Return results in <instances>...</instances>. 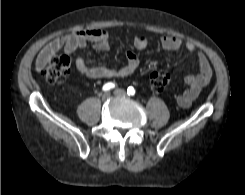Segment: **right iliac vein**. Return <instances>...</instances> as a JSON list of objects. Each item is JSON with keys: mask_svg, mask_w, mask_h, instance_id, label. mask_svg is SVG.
Instances as JSON below:
<instances>
[{"mask_svg": "<svg viewBox=\"0 0 245 195\" xmlns=\"http://www.w3.org/2000/svg\"><path fill=\"white\" fill-rule=\"evenodd\" d=\"M110 98V93L106 92L102 95V101H107Z\"/></svg>", "mask_w": 245, "mask_h": 195, "instance_id": "obj_1", "label": "right iliac vein"}]
</instances>
